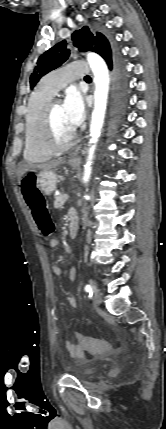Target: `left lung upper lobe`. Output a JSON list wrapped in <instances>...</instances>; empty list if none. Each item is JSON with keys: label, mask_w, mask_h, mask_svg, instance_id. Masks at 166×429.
<instances>
[{"label": "left lung upper lobe", "mask_w": 166, "mask_h": 429, "mask_svg": "<svg viewBox=\"0 0 166 429\" xmlns=\"http://www.w3.org/2000/svg\"><path fill=\"white\" fill-rule=\"evenodd\" d=\"M72 40L73 45L83 52L88 50L96 52L97 48L109 45L103 34L97 33L93 35L87 26L75 31L72 34ZM69 55L70 50L67 48L65 40L42 54L37 61L34 72L30 76V87L33 88L42 76L62 65Z\"/></svg>", "instance_id": "5c2ea615"}]
</instances>
